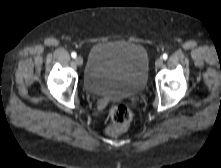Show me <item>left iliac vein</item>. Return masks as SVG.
Masks as SVG:
<instances>
[{
    "instance_id": "4c4485c4",
    "label": "left iliac vein",
    "mask_w": 221,
    "mask_h": 168,
    "mask_svg": "<svg viewBox=\"0 0 221 168\" xmlns=\"http://www.w3.org/2000/svg\"><path fill=\"white\" fill-rule=\"evenodd\" d=\"M163 65V59L162 58H158L155 62V66L157 68L161 67Z\"/></svg>"
}]
</instances>
